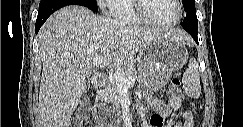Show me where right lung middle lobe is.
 Instances as JSON below:
<instances>
[{
    "instance_id": "dd1d6c3e",
    "label": "right lung middle lobe",
    "mask_w": 243,
    "mask_h": 127,
    "mask_svg": "<svg viewBox=\"0 0 243 127\" xmlns=\"http://www.w3.org/2000/svg\"><path fill=\"white\" fill-rule=\"evenodd\" d=\"M51 0H41L39 5L45 4ZM85 7H88L94 12H97V5L95 0H79Z\"/></svg>"
}]
</instances>
